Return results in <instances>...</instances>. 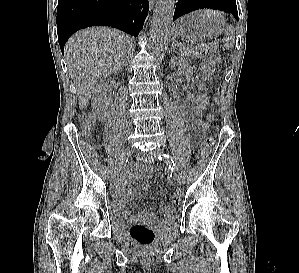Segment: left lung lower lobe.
I'll list each match as a JSON object with an SVG mask.
<instances>
[{
  "instance_id": "obj_1",
  "label": "left lung lower lobe",
  "mask_w": 299,
  "mask_h": 273,
  "mask_svg": "<svg viewBox=\"0 0 299 273\" xmlns=\"http://www.w3.org/2000/svg\"><path fill=\"white\" fill-rule=\"evenodd\" d=\"M198 9H214L232 13L238 20L236 0H178L173 20Z\"/></svg>"
}]
</instances>
